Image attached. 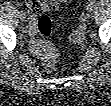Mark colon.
Returning <instances> with one entry per match:
<instances>
[{"mask_svg":"<svg viewBox=\"0 0 111 106\" xmlns=\"http://www.w3.org/2000/svg\"><path fill=\"white\" fill-rule=\"evenodd\" d=\"M52 20L47 16H41L36 23V32L39 37L36 48L43 53V67L47 72L55 69V52L48 41V37L52 34Z\"/></svg>","mask_w":111,"mask_h":106,"instance_id":"5ec220e1","label":"colon"}]
</instances>
